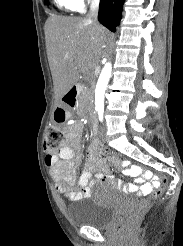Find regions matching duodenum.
Here are the masks:
<instances>
[{"label":"duodenum","mask_w":183,"mask_h":246,"mask_svg":"<svg viewBox=\"0 0 183 246\" xmlns=\"http://www.w3.org/2000/svg\"><path fill=\"white\" fill-rule=\"evenodd\" d=\"M83 87L81 85L72 86L69 91L63 96V101L69 107H75L78 102L79 94L81 93ZM93 143H90V151H101V148H104V143H100V139H93Z\"/></svg>","instance_id":"1"}]
</instances>
